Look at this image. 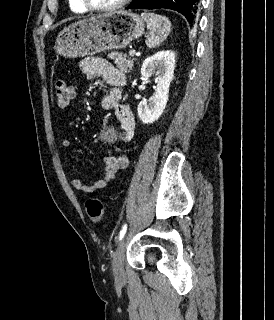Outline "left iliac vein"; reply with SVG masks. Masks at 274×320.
Instances as JSON below:
<instances>
[{"label":"left iliac vein","instance_id":"1","mask_svg":"<svg viewBox=\"0 0 274 320\" xmlns=\"http://www.w3.org/2000/svg\"><path fill=\"white\" fill-rule=\"evenodd\" d=\"M125 248H126V239L123 238L114 254L113 257V271L114 275L117 280H123L125 273H124V257H125Z\"/></svg>","mask_w":274,"mask_h":320}]
</instances>
